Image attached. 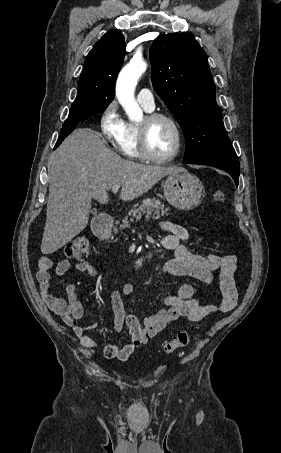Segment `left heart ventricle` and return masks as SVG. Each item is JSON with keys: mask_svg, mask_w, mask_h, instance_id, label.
<instances>
[{"mask_svg": "<svg viewBox=\"0 0 281 453\" xmlns=\"http://www.w3.org/2000/svg\"><path fill=\"white\" fill-rule=\"evenodd\" d=\"M174 142V131L166 122L160 121L150 129V146L156 156H168L172 152Z\"/></svg>", "mask_w": 281, "mask_h": 453, "instance_id": "1", "label": "left heart ventricle"}]
</instances>
